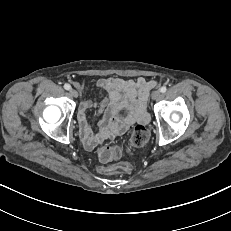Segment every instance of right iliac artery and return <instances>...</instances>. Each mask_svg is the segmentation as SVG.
Here are the masks:
<instances>
[{"mask_svg": "<svg viewBox=\"0 0 231 231\" xmlns=\"http://www.w3.org/2000/svg\"><path fill=\"white\" fill-rule=\"evenodd\" d=\"M64 89L70 90V89H71V86H70L69 84L66 83V84L64 85Z\"/></svg>", "mask_w": 231, "mask_h": 231, "instance_id": "82829eb1", "label": "right iliac artery"}]
</instances>
